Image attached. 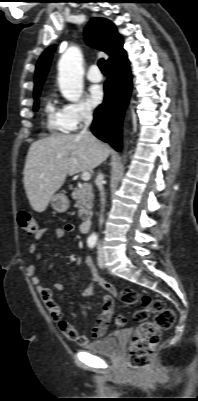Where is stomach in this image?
<instances>
[{
	"label": "stomach",
	"mask_w": 198,
	"mask_h": 401,
	"mask_svg": "<svg viewBox=\"0 0 198 401\" xmlns=\"http://www.w3.org/2000/svg\"><path fill=\"white\" fill-rule=\"evenodd\" d=\"M51 206L57 212H65L69 208V200L64 193H58L52 196Z\"/></svg>",
	"instance_id": "1"
}]
</instances>
